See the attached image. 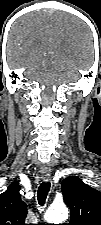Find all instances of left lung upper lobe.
Instances as JSON below:
<instances>
[{"instance_id":"left-lung-upper-lobe-1","label":"left lung upper lobe","mask_w":101,"mask_h":225,"mask_svg":"<svg viewBox=\"0 0 101 225\" xmlns=\"http://www.w3.org/2000/svg\"><path fill=\"white\" fill-rule=\"evenodd\" d=\"M61 190L65 204L70 208L68 225H101V193L70 176L63 180Z\"/></svg>"}]
</instances>
